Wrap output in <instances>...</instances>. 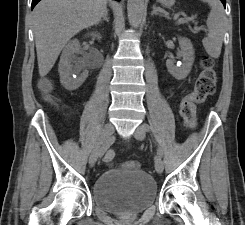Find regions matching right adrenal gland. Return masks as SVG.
<instances>
[{
	"label": "right adrenal gland",
	"mask_w": 245,
	"mask_h": 225,
	"mask_svg": "<svg viewBox=\"0 0 245 225\" xmlns=\"http://www.w3.org/2000/svg\"><path fill=\"white\" fill-rule=\"evenodd\" d=\"M108 13H109V11L106 10L102 19L100 20V23H102L103 21L109 22Z\"/></svg>",
	"instance_id": "1"
}]
</instances>
